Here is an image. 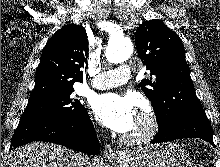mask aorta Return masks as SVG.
<instances>
[{"label": "aorta", "mask_w": 220, "mask_h": 167, "mask_svg": "<svg viewBox=\"0 0 220 167\" xmlns=\"http://www.w3.org/2000/svg\"><path fill=\"white\" fill-rule=\"evenodd\" d=\"M133 53V44L129 39L120 38L110 40L105 56L110 63H122Z\"/></svg>", "instance_id": "aorta-1"}]
</instances>
